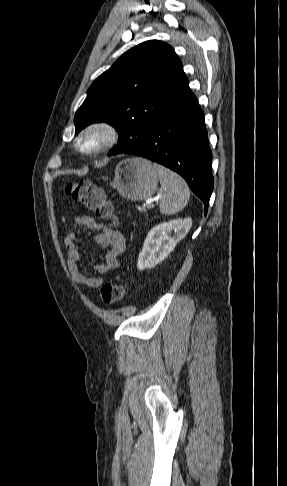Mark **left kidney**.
I'll list each match as a JSON object with an SVG mask.
<instances>
[{"label":"left kidney","instance_id":"5707ae66","mask_svg":"<svg viewBox=\"0 0 287 486\" xmlns=\"http://www.w3.org/2000/svg\"><path fill=\"white\" fill-rule=\"evenodd\" d=\"M192 219H174L153 227L139 253L137 268L142 271L151 269L162 262L189 232ZM174 234L172 235V233Z\"/></svg>","mask_w":287,"mask_h":486}]
</instances>
